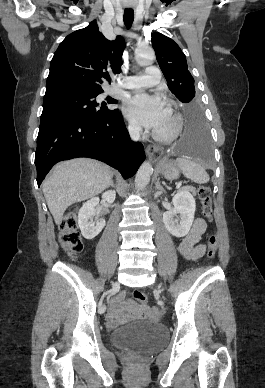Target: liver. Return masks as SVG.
I'll return each instance as SVG.
<instances>
[{
  "instance_id": "obj_1",
  "label": "liver",
  "mask_w": 265,
  "mask_h": 388,
  "mask_svg": "<svg viewBox=\"0 0 265 388\" xmlns=\"http://www.w3.org/2000/svg\"><path fill=\"white\" fill-rule=\"evenodd\" d=\"M112 176L109 166L88 158L54 166L44 180L42 190L55 224H62L63 214L71 204L93 198L109 188Z\"/></svg>"
}]
</instances>
